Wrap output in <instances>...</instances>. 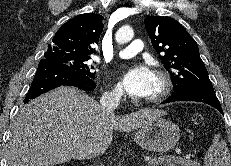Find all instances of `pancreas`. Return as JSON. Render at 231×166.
I'll return each instance as SVG.
<instances>
[{
	"mask_svg": "<svg viewBox=\"0 0 231 166\" xmlns=\"http://www.w3.org/2000/svg\"><path fill=\"white\" fill-rule=\"evenodd\" d=\"M149 166H176V164H181L178 161H176L171 156H163L158 157L157 161H153L151 163H148ZM181 166H197L189 161H185L184 164H181Z\"/></svg>",
	"mask_w": 231,
	"mask_h": 166,
	"instance_id": "obj_1",
	"label": "pancreas"
}]
</instances>
